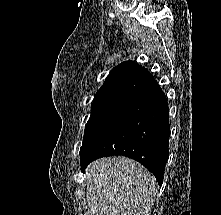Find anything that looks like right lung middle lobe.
I'll list each match as a JSON object with an SVG mask.
<instances>
[{
  "mask_svg": "<svg viewBox=\"0 0 221 215\" xmlns=\"http://www.w3.org/2000/svg\"><path fill=\"white\" fill-rule=\"evenodd\" d=\"M131 100L115 99L94 102L85 126L80 158L87 156L124 112Z\"/></svg>",
  "mask_w": 221,
  "mask_h": 215,
  "instance_id": "right-lung-middle-lobe-1",
  "label": "right lung middle lobe"
}]
</instances>
